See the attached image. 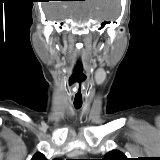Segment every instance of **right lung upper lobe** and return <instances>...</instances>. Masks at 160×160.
Instances as JSON below:
<instances>
[{
  "mask_svg": "<svg viewBox=\"0 0 160 160\" xmlns=\"http://www.w3.org/2000/svg\"><path fill=\"white\" fill-rule=\"evenodd\" d=\"M31 160H47V159L42 153L37 152ZM54 160H57V159H54Z\"/></svg>",
  "mask_w": 160,
  "mask_h": 160,
  "instance_id": "obj_1",
  "label": "right lung upper lobe"
}]
</instances>
